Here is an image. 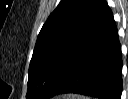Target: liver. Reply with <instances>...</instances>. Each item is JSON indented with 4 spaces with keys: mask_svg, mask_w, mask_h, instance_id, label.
Returning <instances> with one entry per match:
<instances>
[{
    "mask_svg": "<svg viewBox=\"0 0 128 99\" xmlns=\"http://www.w3.org/2000/svg\"><path fill=\"white\" fill-rule=\"evenodd\" d=\"M65 98L67 99H85L81 96H77V95H67Z\"/></svg>",
    "mask_w": 128,
    "mask_h": 99,
    "instance_id": "obj_1",
    "label": "liver"
}]
</instances>
